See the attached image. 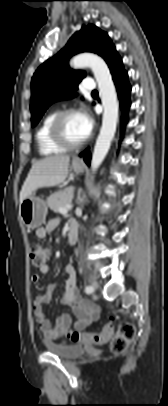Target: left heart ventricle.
<instances>
[{
	"mask_svg": "<svg viewBox=\"0 0 168 406\" xmlns=\"http://www.w3.org/2000/svg\"><path fill=\"white\" fill-rule=\"evenodd\" d=\"M63 131L66 138L72 142L81 141L86 138L78 113L71 114L64 120Z\"/></svg>",
	"mask_w": 168,
	"mask_h": 406,
	"instance_id": "b2bd125f",
	"label": "left heart ventricle"
}]
</instances>
